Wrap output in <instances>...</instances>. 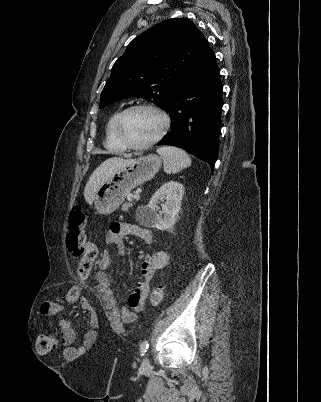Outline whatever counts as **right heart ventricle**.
<instances>
[{
  "instance_id": "e07e8e85",
  "label": "right heart ventricle",
  "mask_w": 321,
  "mask_h": 402,
  "mask_svg": "<svg viewBox=\"0 0 321 402\" xmlns=\"http://www.w3.org/2000/svg\"><path fill=\"white\" fill-rule=\"evenodd\" d=\"M120 111H115L108 119L105 125V140L104 146L112 153L120 154L125 151V148L118 140L115 133V122Z\"/></svg>"
}]
</instances>
